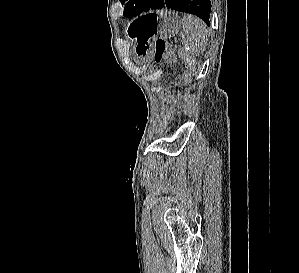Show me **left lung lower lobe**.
<instances>
[{
    "label": "left lung lower lobe",
    "instance_id": "0a47b994",
    "mask_svg": "<svg viewBox=\"0 0 299 273\" xmlns=\"http://www.w3.org/2000/svg\"><path fill=\"white\" fill-rule=\"evenodd\" d=\"M163 7L197 15L208 26L210 25V0H147L143 12Z\"/></svg>",
    "mask_w": 299,
    "mask_h": 273
}]
</instances>
